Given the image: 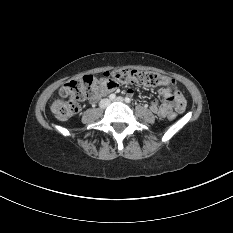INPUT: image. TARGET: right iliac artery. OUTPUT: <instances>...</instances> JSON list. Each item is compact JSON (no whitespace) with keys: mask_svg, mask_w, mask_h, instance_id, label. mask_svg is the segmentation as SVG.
I'll return each instance as SVG.
<instances>
[{"mask_svg":"<svg viewBox=\"0 0 233 233\" xmlns=\"http://www.w3.org/2000/svg\"><path fill=\"white\" fill-rule=\"evenodd\" d=\"M115 97H116V95H115V94H111V95L109 96V99H110V100H114V99H115Z\"/></svg>","mask_w":233,"mask_h":233,"instance_id":"82829eb1","label":"right iliac artery"}]
</instances>
